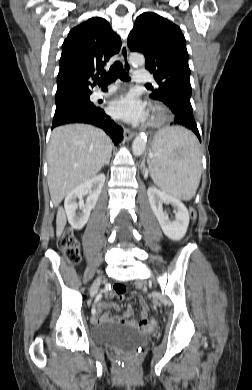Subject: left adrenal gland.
<instances>
[{
	"label": "left adrenal gland",
	"mask_w": 252,
	"mask_h": 390,
	"mask_svg": "<svg viewBox=\"0 0 252 390\" xmlns=\"http://www.w3.org/2000/svg\"><path fill=\"white\" fill-rule=\"evenodd\" d=\"M145 172V173H144ZM143 173H144V177L146 178L148 176V171L146 170V168L144 167L143 165Z\"/></svg>",
	"instance_id": "a2214340"
}]
</instances>
